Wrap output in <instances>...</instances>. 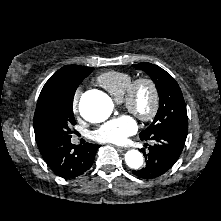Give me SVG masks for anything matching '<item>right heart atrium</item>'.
I'll return each instance as SVG.
<instances>
[{"mask_svg": "<svg viewBox=\"0 0 221 221\" xmlns=\"http://www.w3.org/2000/svg\"><path fill=\"white\" fill-rule=\"evenodd\" d=\"M81 92L80 90L75 91L73 98H72V110L74 113L78 112V103L80 99Z\"/></svg>", "mask_w": 221, "mask_h": 221, "instance_id": "right-heart-atrium-1", "label": "right heart atrium"}]
</instances>
